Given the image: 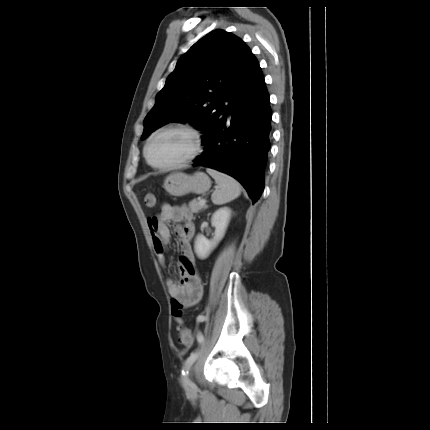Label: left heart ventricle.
I'll use <instances>...</instances> for the list:
<instances>
[{
    "label": "left heart ventricle",
    "instance_id": "left-heart-ventricle-1",
    "mask_svg": "<svg viewBox=\"0 0 430 430\" xmlns=\"http://www.w3.org/2000/svg\"><path fill=\"white\" fill-rule=\"evenodd\" d=\"M193 137L182 130H169L158 135L149 147V157L155 164L169 165L187 157L193 150Z\"/></svg>",
    "mask_w": 430,
    "mask_h": 430
}]
</instances>
